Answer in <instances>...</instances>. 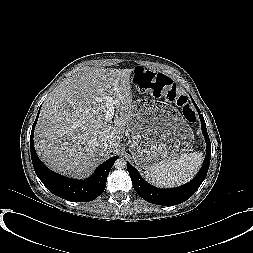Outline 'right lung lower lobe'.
I'll list each match as a JSON object with an SVG mask.
<instances>
[{"instance_id":"1","label":"right lung lower lobe","mask_w":253,"mask_h":253,"mask_svg":"<svg viewBox=\"0 0 253 253\" xmlns=\"http://www.w3.org/2000/svg\"><path fill=\"white\" fill-rule=\"evenodd\" d=\"M38 115L30 136V150L33 167L41 182L58 197L69 201L87 202L100 196L106 186L108 174L118 156L112 157L99 165L93 175L85 180H75L59 175L48 169L37 157L34 149L33 134Z\"/></svg>"}]
</instances>
